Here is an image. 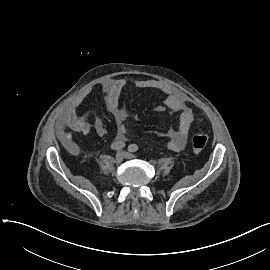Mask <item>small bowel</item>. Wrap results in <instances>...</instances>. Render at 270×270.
Wrapping results in <instances>:
<instances>
[{
	"instance_id": "obj_1",
	"label": "small bowel",
	"mask_w": 270,
	"mask_h": 270,
	"mask_svg": "<svg viewBox=\"0 0 270 270\" xmlns=\"http://www.w3.org/2000/svg\"><path fill=\"white\" fill-rule=\"evenodd\" d=\"M127 81L125 79H113L103 83L102 90L105 93V103L107 109L113 115L116 126L118 140H124L127 136L126 122L129 117L127 110L120 106V96ZM137 88L141 89H156L164 93L163 104L158 106V112L166 110L172 112H180V119L177 126H171L166 132L165 136L169 139L168 148L174 152H180L184 149L191 125L194 121L192 109L188 105V100L185 94L178 89L172 88L169 85L148 79L136 83ZM86 93L77 96L64 114V140L71 139L73 133L89 134L94 130L99 137H106L108 130L105 124L100 120H89L83 117L78 108L85 98Z\"/></svg>"
}]
</instances>
